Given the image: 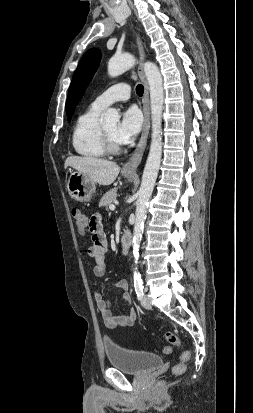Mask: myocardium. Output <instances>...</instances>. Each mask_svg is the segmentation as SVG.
Segmentation results:
<instances>
[{
    "instance_id": "f54148a6",
    "label": "myocardium",
    "mask_w": 253,
    "mask_h": 413,
    "mask_svg": "<svg viewBox=\"0 0 253 413\" xmlns=\"http://www.w3.org/2000/svg\"><path fill=\"white\" fill-rule=\"evenodd\" d=\"M100 136L103 148L106 153L116 154L122 150L120 144L112 139L103 125H100Z\"/></svg>"
}]
</instances>
